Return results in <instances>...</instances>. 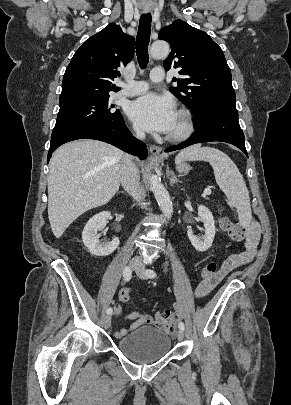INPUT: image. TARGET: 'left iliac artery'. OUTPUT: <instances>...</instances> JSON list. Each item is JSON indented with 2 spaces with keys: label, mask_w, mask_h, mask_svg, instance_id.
<instances>
[{
  "label": "left iliac artery",
  "mask_w": 291,
  "mask_h": 405,
  "mask_svg": "<svg viewBox=\"0 0 291 405\" xmlns=\"http://www.w3.org/2000/svg\"><path fill=\"white\" fill-rule=\"evenodd\" d=\"M145 273H146L147 277H149V278H155V277H156L155 271H153V270H151V269H147ZM178 327H179V329H181V330H184V329H185V325H184L183 322H179Z\"/></svg>",
  "instance_id": "1"
}]
</instances>
